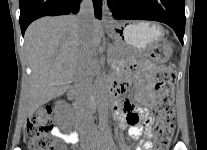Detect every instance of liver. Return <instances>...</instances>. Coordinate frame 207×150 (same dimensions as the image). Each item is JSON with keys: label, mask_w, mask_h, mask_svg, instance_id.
I'll use <instances>...</instances> for the list:
<instances>
[{"label": "liver", "mask_w": 207, "mask_h": 150, "mask_svg": "<svg viewBox=\"0 0 207 150\" xmlns=\"http://www.w3.org/2000/svg\"><path fill=\"white\" fill-rule=\"evenodd\" d=\"M94 48L103 36L100 21L94 19L89 32ZM82 29L76 16L44 17L33 22L25 33V52L31 68L29 84L22 91L25 117L63 95L76 80Z\"/></svg>", "instance_id": "6515ba94"}]
</instances>
